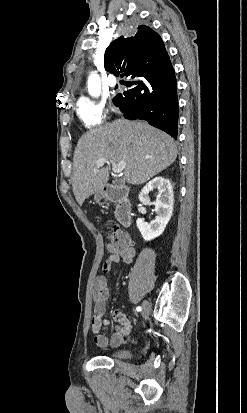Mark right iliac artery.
Returning <instances> with one entry per match:
<instances>
[{"mask_svg":"<svg viewBox=\"0 0 247 413\" xmlns=\"http://www.w3.org/2000/svg\"><path fill=\"white\" fill-rule=\"evenodd\" d=\"M136 310H137V311H141V307L138 306V307L136 308Z\"/></svg>","mask_w":247,"mask_h":413,"instance_id":"obj_1","label":"right iliac artery"}]
</instances>
